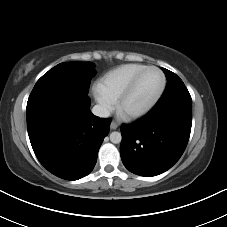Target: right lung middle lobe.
I'll return each instance as SVG.
<instances>
[{
    "label": "right lung middle lobe",
    "instance_id": "right-lung-middle-lobe-1",
    "mask_svg": "<svg viewBox=\"0 0 227 227\" xmlns=\"http://www.w3.org/2000/svg\"><path fill=\"white\" fill-rule=\"evenodd\" d=\"M95 65L91 62H66L58 64L45 73L35 84L27 105L41 98L61 91L82 90L87 92L95 75Z\"/></svg>",
    "mask_w": 227,
    "mask_h": 227
}]
</instances>
